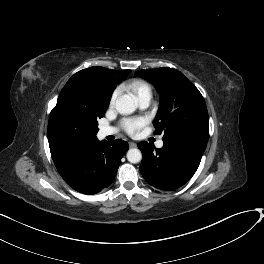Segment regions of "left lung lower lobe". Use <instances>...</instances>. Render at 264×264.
I'll return each mask as SVG.
<instances>
[{
	"label": "left lung lower lobe",
	"instance_id": "0a47b994",
	"mask_svg": "<svg viewBox=\"0 0 264 264\" xmlns=\"http://www.w3.org/2000/svg\"><path fill=\"white\" fill-rule=\"evenodd\" d=\"M163 142L159 149L147 142L138 144L142 152L140 172L150 185L161 190H174L194 175L207 141L196 135H183Z\"/></svg>",
	"mask_w": 264,
	"mask_h": 264
}]
</instances>
